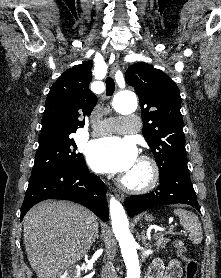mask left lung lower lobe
Listing matches in <instances>:
<instances>
[{
  "label": "left lung lower lobe",
  "instance_id": "obj_1",
  "mask_svg": "<svg viewBox=\"0 0 221 278\" xmlns=\"http://www.w3.org/2000/svg\"><path fill=\"white\" fill-rule=\"evenodd\" d=\"M159 182L160 185L155 191L131 195L125 199V207L130 217L147 209L175 203L191 205L200 211L187 164L176 165L160 176Z\"/></svg>",
  "mask_w": 221,
  "mask_h": 278
}]
</instances>
